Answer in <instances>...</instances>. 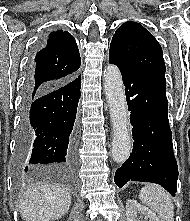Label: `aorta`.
<instances>
[{"label":"aorta","instance_id":"1","mask_svg":"<svg viewBox=\"0 0 190 221\" xmlns=\"http://www.w3.org/2000/svg\"><path fill=\"white\" fill-rule=\"evenodd\" d=\"M104 91L113 124L112 158L122 163L130 155L131 137L122 76L115 65H108L104 70Z\"/></svg>","mask_w":190,"mask_h":221}]
</instances>
